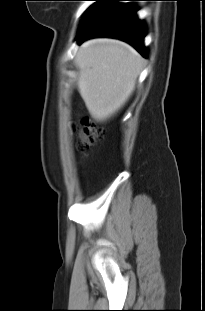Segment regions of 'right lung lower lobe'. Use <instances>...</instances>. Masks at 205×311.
Returning a JSON list of instances; mask_svg holds the SVG:
<instances>
[{
    "label": "right lung lower lobe",
    "mask_w": 205,
    "mask_h": 311,
    "mask_svg": "<svg viewBox=\"0 0 205 311\" xmlns=\"http://www.w3.org/2000/svg\"><path fill=\"white\" fill-rule=\"evenodd\" d=\"M87 10L78 30L77 41L81 44L92 37H112L128 42L144 57H147L143 40L144 24L136 16L130 4H118L125 0H96ZM137 1V0H129Z\"/></svg>",
    "instance_id": "1"
}]
</instances>
